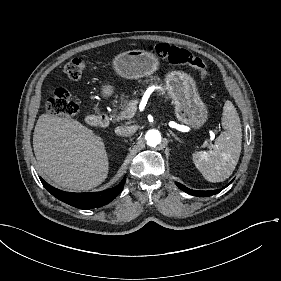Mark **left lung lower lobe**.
Wrapping results in <instances>:
<instances>
[{
    "label": "left lung lower lobe",
    "mask_w": 281,
    "mask_h": 281,
    "mask_svg": "<svg viewBox=\"0 0 281 281\" xmlns=\"http://www.w3.org/2000/svg\"><path fill=\"white\" fill-rule=\"evenodd\" d=\"M231 183V182H230ZM229 183V184H230ZM228 184V185H229ZM176 185L181 189L183 190L184 192L190 194V195H194V196H199V197H206V196H211V195H214V194H217L221 191V189H217V190H210V191H196V190H192V189H189L187 187H185L184 185H182L181 183H178L176 182ZM227 185V186H228ZM225 186V187H227ZM224 187V188H225Z\"/></svg>",
    "instance_id": "obj_1"
}]
</instances>
